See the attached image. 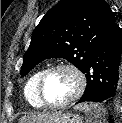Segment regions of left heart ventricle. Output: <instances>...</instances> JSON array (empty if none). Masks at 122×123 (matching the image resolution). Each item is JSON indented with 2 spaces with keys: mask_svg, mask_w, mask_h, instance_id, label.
I'll return each instance as SVG.
<instances>
[{
  "mask_svg": "<svg viewBox=\"0 0 122 123\" xmlns=\"http://www.w3.org/2000/svg\"><path fill=\"white\" fill-rule=\"evenodd\" d=\"M75 75L65 69L52 72L44 85V96L48 102L60 103L68 99L76 90Z\"/></svg>",
  "mask_w": 122,
  "mask_h": 123,
  "instance_id": "left-heart-ventricle-1",
  "label": "left heart ventricle"
}]
</instances>
